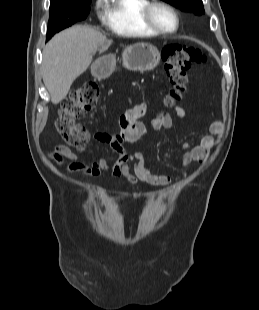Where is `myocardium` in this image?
Instances as JSON below:
<instances>
[{"instance_id": "f54148a6", "label": "myocardium", "mask_w": 259, "mask_h": 310, "mask_svg": "<svg viewBox=\"0 0 259 310\" xmlns=\"http://www.w3.org/2000/svg\"><path fill=\"white\" fill-rule=\"evenodd\" d=\"M156 7L165 8L173 14V16L175 18V22H176L174 29H172V30L163 29V28L159 27L154 22V20L152 18V12H153L154 8H156ZM141 18H142L143 24L147 28H149L151 31L155 32L158 35L173 34V33L177 32L179 27H180V17H179L177 10L173 6H171L170 4L163 2V1L153 0V1H150L148 4H146L142 10Z\"/></svg>"}]
</instances>
